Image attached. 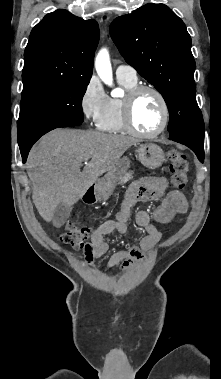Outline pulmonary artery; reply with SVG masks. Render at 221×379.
I'll list each match as a JSON object with an SVG mask.
<instances>
[{
  "label": "pulmonary artery",
  "mask_w": 221,
  "mask_h": 379,
  "mask_svg": "<svg viewBox=\"0 0 221 379\" xmlns=\"http://www.w3.org/2000/svg\"><path fill=\"white\" fill-rule=\"evenodd\" d=\"M116 76L120 79H126L129 81H137V72L130 65H119L116 68Z\"/></svg>",
  "instance_id": "1"
}]
</instances>
